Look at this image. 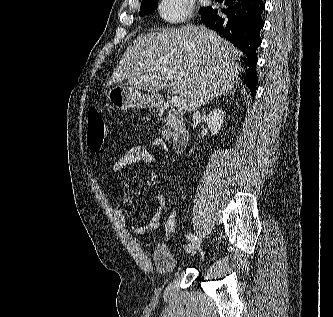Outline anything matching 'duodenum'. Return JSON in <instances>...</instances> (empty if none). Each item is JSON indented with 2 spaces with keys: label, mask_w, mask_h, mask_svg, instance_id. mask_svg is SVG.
<instances>
[{
  "label": "duodenum",
  "mask_w": 333,
  "mask_h": 317,
  "mask_svg": "<svg viewBox=\"0 0 333 317\" xmlns=\"http://www.w3.org/2000/svg\"><path fill=\"white\" fill-rule=\"evenodd\" d=\"M151 103L153 106L161 109L167 110L169 108V103L161 96H153ZM188 133L183 129H178L172 136L171 143L174 151L182 152L188 142Z\"/></svg>",
  "instance_id": "obj_1"
}]
</instances>
